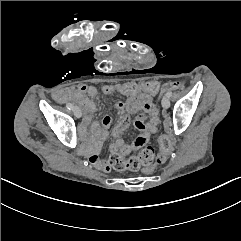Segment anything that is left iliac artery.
I'll list each match as a JSON object with an SVG mask.
<instances>
[{"mask_svg": "<svg viewBox=\"0 0 241 241\" xmlns=\"http://www.w3.org/2000/svg\"><path fill=\"white\" fill-rule=\"evenodd\" d=\"M166 96H167L168 98H170V97L172 96V92H171V91L167 92V93H166Z\"/></svg>", "mask_w": 241, "mask_h": 241, "instance_id": "left-iliac-artery-1", "label": "left iliac artery"}]
</instances>
